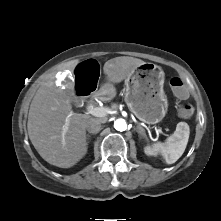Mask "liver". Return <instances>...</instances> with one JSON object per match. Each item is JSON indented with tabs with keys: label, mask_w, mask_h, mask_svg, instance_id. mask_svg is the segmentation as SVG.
<instances>
[{
	"label": "liver",
	"mask_w": 221,
	"mask_h": 221,
	"mask_svg": "<svg viewBox=\"0 0 221 221\" xmlns=\"http://www.w3.org/2000/svg\"><path fill=\"white\" fill-rule=\"evenodd\" d=\"M78 63V60L70 61L66 68L73 71ZM144 63L141 59L128 56L105 62L103 72L108 81L109 93H114L113 84L126 79L137 66ZM54 80V76L45 80L31 102L28 134L34 148L46 162L60 168H70L87 153L86 122L91 117L72 111L74 85L69 84L62 89L56 86ZM66 119L69 120V126L64 132Z\"/></svg>",
	"instance_id": "1"
}]
</instances>
